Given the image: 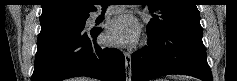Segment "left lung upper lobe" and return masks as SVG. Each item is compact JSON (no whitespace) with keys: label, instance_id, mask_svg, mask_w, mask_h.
Listing matches in <instances>:
<instances>
[{"label":"left lung upper lobe","instance_id":"left-lung-upper-lobe-1","mask_svg":"<svg viewBox=\"0 0 237 81\" xmlns=\"http://www.w3.org/2000/svg\"><path fill=\"white\" fill-rule=\"evenodd\" d=\"M150 12H156L147 25L149 36L182 27L201 28L200 14L195 0H152Z\"/></svg>","mask_w":237,"mask_h":81}]
</instances>
